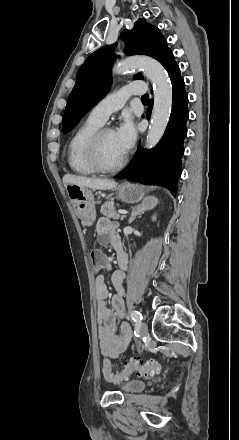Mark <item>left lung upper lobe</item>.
Here are the masks:
<instances>
[{
    "mask_svg": "<svg viewBox=\"0 0 239 440\" xmlns=\"http://www.w3.org/2000/svg\"><path fill=\"white\" fill-rule=\"evenodd\" d=\"M121 36L126 44L124 52L127 55H148L162 63L170 51L160 30L143 18L135 22L132 30L122 32ZM115 46L116 44L101 47L79 69L75 87L65 108L62 129L64 133L71 131L82 116L109 91ZM134 79H143V76L138 73Z\"/></svg>",
    "mask_w": 239,
    "mask_h": 440,
    "instance_id": "5c2ea615",
    "label": "left lung upper lobe"
}]
</instances>
